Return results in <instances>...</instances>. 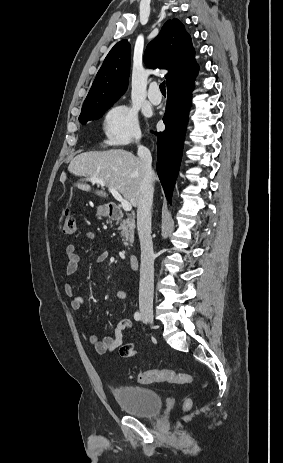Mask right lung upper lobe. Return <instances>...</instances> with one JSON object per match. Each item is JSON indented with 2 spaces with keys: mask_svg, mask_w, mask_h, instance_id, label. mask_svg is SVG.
<instances>
[{
  "mask_svg": "<svg viewBox=\"0 0 283 463\" xmlns=\"http://www.w3.org/2000/svg\"><path fill=\"white\" fill-rule=\"evenodd\" d=\"M131 46L118 42L106 56L84 105L119 98L127 89ZM190 35L178 19L168 20L145 51V63L151 68L167 69V88L193 79L198 72Z\"/></svg>",
  "mask_w": 283,
  "mask_h": 463,
  "instance_id": "cb5924a9",
  "label": "right lung upper lobe"
}]
</instances>
